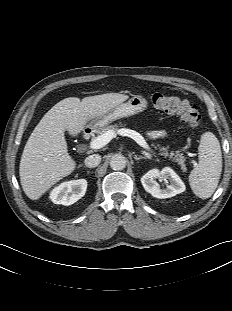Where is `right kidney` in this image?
Returning a JSON list of instances; mask_svg holds the SVG:
<instances>
[{"label":"right kidney","mask_w":232,"mask_h":311,"mask_svg":"<svg viewBox=\"0 0 232 311\" xmlns=\"http://www.w3.org/2000/svg\"><path fill=\"white\" fill-rule=\"evenodd\" d=\"M87 181L85 179L63 182L50 193V199L55 204L65 206L74 204L85 195Z\"/></svg>","instance_id":"obj_1"}]
</instances>
